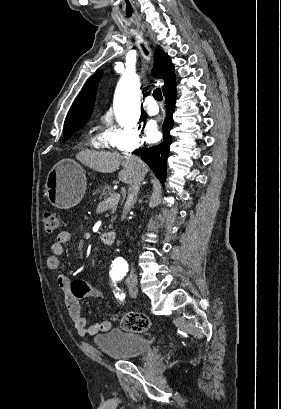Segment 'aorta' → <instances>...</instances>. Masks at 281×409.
<instances>
[{"instance_id": "aorta-1", "label": "aorta", "mask_w": 281, "mask_h": 409, "mask_svg": "<svg viewBox=\"0 0 281 409\" xmlns=\"http://www.w3.org/2000/svg\"><path fill=\"white\" fill-rule=\"evenodd\" d=\"M138 81L134 74H125L118 86L114 111L118 123L129 127L134 124L137 115Z\"/></svg>"}]
</instances>
